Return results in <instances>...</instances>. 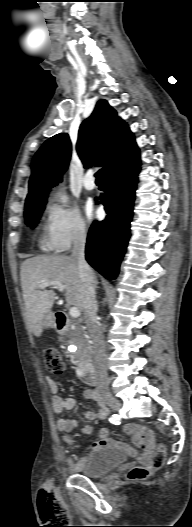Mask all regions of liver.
Masks as SVG:
<instances>
[{
  "label": "liver",
  "mask_w": 192,
  "mask_h": 527,
  "mask_svg": "<svg viewBox=\"0 0 192 527\" xmlns=\"http://www.w3.org/2000/svg\"><path fill=\"white\" fill-rule=\"evenodd\" d=\"M20 277L27 322L36 337L41 336L45 319L55 301V292L40 288L41 282L62 283L67 305L83 311V284L77 260L71 256L40 255L28 258L21 265Z\"/></svg>",
  "instance_id": "6515ba94"
}]
</instances>
